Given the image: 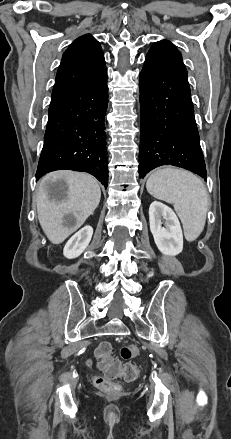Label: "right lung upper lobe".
<instances>
[{"instance_id": "obj_1", "label": "right lung upper lobe", "mask_w": 231, "mask_h": 439, "mask_svg": "<svg viewBox=\"0 0 231 439\" xmlns=\"http://www.w3.org/2000/svg\"><path fill=\"white\" fill-rule=\"evenodd\" d=\"M106 74L101 46L91 35L77 38L64 52L51 101L71 94Z\"/></svg>"}]
</instances>
